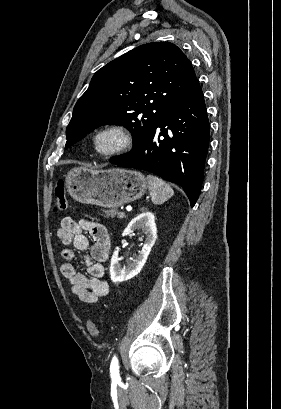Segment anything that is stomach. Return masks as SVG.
<instances>
[{"instance_id": "0dacf381", "label": "stomach", "mask_w": 281, "mask_h": 409, "mask_svg": "<svg viewBox=\"0 0 281 409\" xmlns=\"http://www.w3.org/2000/svg\"><path fill=\"white\" fill-rule=\"evenodd\" d=\"M65 186L70 196L78 202H84V205L116 209L140 198L146 192L147 180L138 170H93L86 166H75L67 172Z\"/></svg>"}]
</instances>
